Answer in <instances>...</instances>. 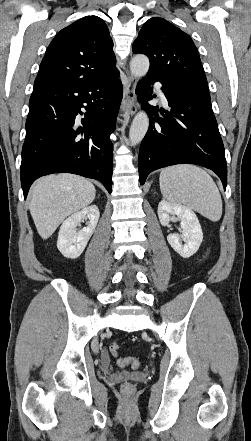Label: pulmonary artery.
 <instances>
[{
  "mask_svg": "<svg viewBox=\"0 0 251 441\" xmlns=\"http://www.w3.org/2000/svg\"><path fill=\"white\" fill-rule=\"evenodd\" d=\"M155 88H156V90H157L159 96L162 98V100H163L164 102H166L167 100H166L165 95H164V93H163V91H162V89H161V84L158 83V82L155 83Z\"/></svg>",
  "mask_w": 251,
  "mask_h": 441,
  "instance_id": "pulmonary-artery-1",
  "label": "pulmonary artery"
}]
</instances>
